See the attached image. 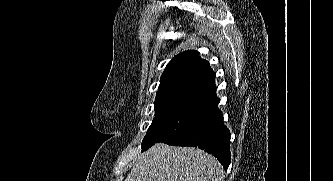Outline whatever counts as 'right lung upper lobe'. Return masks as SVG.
Listing matches in <instances>:
<instances>
[{
    "instance_id": "cb5924a9",
    "label": "right lung upper lobe",
    "mask_w": 333,
    "mask_h": 181,
    "mask_svg": "<svg viewBox=\"0 0 333 181\" xmlns=\"http://www.w3.org/2000/svg\"><path fill=\"white\" fill-rule=\"evenodd\" d=\"M215 73L197 51H184L168 63L161 76L155 109L186 107L209 111L218 107Z\"/></svg>"
}]
</instances>
